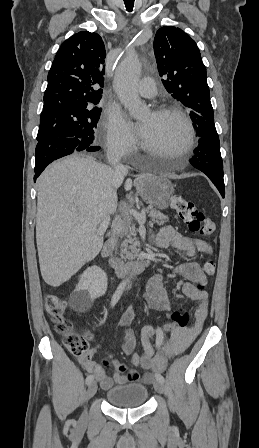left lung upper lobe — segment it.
Masks as SVG:
<instances>
[{
  "label": "left lung upper lobe",
  "mask_w": 259,
  "mask_h": 448,
  "mask_svg": "<svg viewBox=\"0 0 259 448\" xmlns=\"http://www.w3.org/2000/svg\"><path fill=\"white\" fill-rule=\"evenodd\" d=\"M158 72L172 97L190 108L200 137L217 134L206 67L196 42L180 28H160L154 38Z\"/></svg>",
  "instance_id": "left-lung-upper-lobe-1"
}]
</instances>
